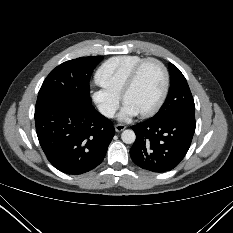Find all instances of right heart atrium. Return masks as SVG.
<instances>
[{"label":"right heart atrium","instance_id":"1","mask_svg":"<svg viewBox=\"0 0 233 233\" xmlns=\"http://www.w3.org/2000/svg\"><path fill=\"white\" fill-rule=\"evenodd\" d=\"M91 97L102 115L107 118L115 115L120 104L119 94L97 82L96 87L92 90Z\"/></svg>","mask_w":233,"mask_h":233}]
</instances>
